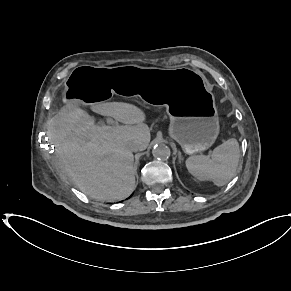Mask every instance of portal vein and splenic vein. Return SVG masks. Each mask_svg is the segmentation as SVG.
<instances>
[{
    "mask_svg": "<svg viewBox=\"0 0 291 291\" xmlns=\"http://www.w3.org/2000/svg\"><path fill=\"white\" fill-rule=\"evenodd\" d=\"M107 123H108V124H112V119H110V118L107 119Z\"/></svg>",
    "mask_w": 291,
    "mask_h": 291,
    "instance_id": "obj_1",
    "label": "portal vein and splenic vein"
}]
</instances>
